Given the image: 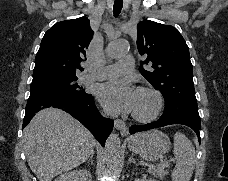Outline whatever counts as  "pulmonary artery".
<instances>
[{"instance_id": "1", "label": "pulmonary artery", "mask_w": 228, "mask_h": 181, "mask_svg": "<svg viewBox=\"0 0 228 181\" xmlns=\"http://www.w3.org/2000/svg\"><path fill=\"white\" fill-rule=\"evenodd\" d=\"M108 46V45H107ZM122 65H112L103 69L102 74H93V79H110L111 75L118 70L123 71H135L134 62H132V57L121 58Z\"/></svg>"}]
</instances>
